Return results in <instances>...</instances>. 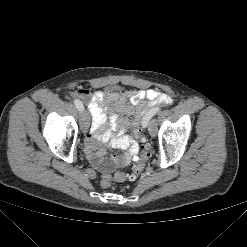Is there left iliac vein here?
Instances as JSON below:
<instances>
[{
	"label": "left iliac vein",
	"instance_id": "left-iliac-vein-1",
	"mask_svg": "<svg viewBox=\"0 0 247 247\" xmlns=\"http://www.w3.org/2000/svg\"><path fill=\"white\" fill-rule=\"evenodd\" d=\"M149 126V133L151 136H154L156 134V122L155 121H151L149 124L147 125H143V127H147Z\"/></svg>",
	"mask_w": 247,
	"mask_h": 247
}]
</instances>
